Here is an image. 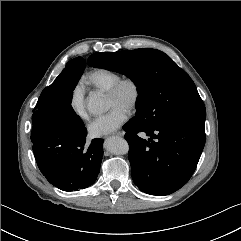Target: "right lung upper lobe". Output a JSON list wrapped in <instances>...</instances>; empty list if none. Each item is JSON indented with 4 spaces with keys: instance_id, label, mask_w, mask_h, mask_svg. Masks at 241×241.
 Masks as SVG:
<instances>
[{
    "instance_id": "cb5924a9",
    "label": "right lung upper lobe",
    "mask_w": 241,
    "mask_h": 241,
    "mask_svg": "<svg viewBox=\"0 0 241 241\" xmlns=\"http://www.w3.org/2000/svg\"><path fill=\"white\" fill-rule=\"evenodd\" d=\"M79 62L85 64V60H84L83 58L77 57V58L69 61V62L67 63V65H66L65 69H67V68H69V67H71V66H73V65H75V64H77V63H79Z\"/></svg>"
}]
</instances>
